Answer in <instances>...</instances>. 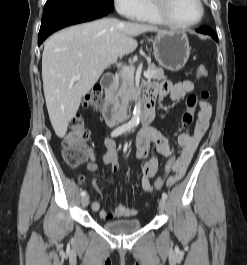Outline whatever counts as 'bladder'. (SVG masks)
<instances>
[{
    "label": "bladder",
    "mask_w": 247,
    "mask_h": 265,
    "mask_svg": "<svg viewBox=\"0 0 247 265\" xmlns=\"http://www.w3.org/2000/svg\"><path fill=\"white\" fill-rule=\"evenodd\" d=\"M102 227L112 234L125 235L139 230L142 227V221L139 219H121L105 222Z\"/></svg>",
    "instance_id": "obj_1"
}]
</instances>
